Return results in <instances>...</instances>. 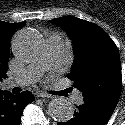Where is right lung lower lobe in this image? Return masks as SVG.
Listing matches in <instances>:
<instances>
[{
  "instance_id": "1",
  "label": "right lung lower lobe",
  "mask_w": 125,
  "mask_h": 125,
  "mask_svg": "<svg viewBox=\"0 0 125 125\" xmlns=\"http://www.w3.org/2000/svg\"><path fill=\"white\" fill-rule=\"evenodd\" d=\"M30 91L12 95L5 91L0 93V125H20L25 106L34 101Z\"/></svg>"
}]
</instances>
